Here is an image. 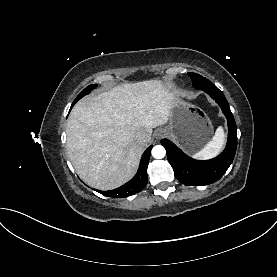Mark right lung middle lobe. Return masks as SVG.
<instances>
[{
  "label": "right lung middle lobe",
  "instance_id": "right-lung-middle-lobe-1",
  "mask_svg": "<svg viewBox=\"0 0 277 277\" xmlns=\"http://www.w3.org/2000/svg\"><path fill=\"white\" fill-rule=\"evenodd\" d=\"M96 86H97V84H92V85H89L88 87H86V88L76 97V99H75L74 102L72 103L71 108L74 106V104H75L79 99H81L83 96L89 94L90 91H91L92 89H94Z\"/></svg>",
  "mask_w": 277,
  "mask_h": 277
}]
</instances>
